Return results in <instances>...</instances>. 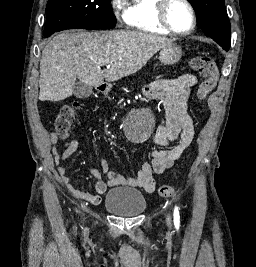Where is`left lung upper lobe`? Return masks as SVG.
Wrapping results in <instances>:
<instances>
[{
  "label": "left lung upper lobe",
  "instance_id": "5c2ea615",
  "mask_svg": "<svg viewBox=\"0 0 256 267\" xmlns=\"http://www.w3.org/2000/svg\"><path fill=\"white\" fill-rule=\"evenodd\" d=\"M188 1L196 11L198 27L228 51L231 43V30L223 0Z\"/></svg>",
  "mask_w": 256,
  "mask_h": 267
}]
</instances>
